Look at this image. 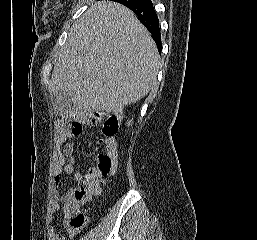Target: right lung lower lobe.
I'll return each instance as SVG.
<instances>
[{
	"instance_id": "obj_1",
	"label": "right lung lower lobe",
	"mask_w": 257,
	"mask_h": 240,
	"mask_svg": "<svg viewBox=\"0 0 257 240\" xmlns=\"http://www.w3.org/2000/svg\"><path fill=\"white\" fill-rule=\"evenodd\" d=\"M123 5L127 6L138 16L141 23L151 32L159 51H161L159 21L151 0H127Z\"/></svg>"
}]
</instances>
